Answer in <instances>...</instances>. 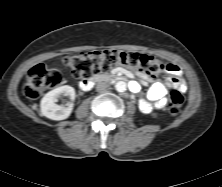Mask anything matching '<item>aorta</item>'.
<instances>
[{"instance_id": "obj_1", "label": "aorta", "mask_w": 222, "mask_h": 187, "mask_svg": "<svg viewBox=\"0 0 222 187\" xmlns=\"http://www.w3.org/2000/svg\"><path fill=\"white\" fill-rule=\"evenodd\" d=\"M126 88H127V84H126L124 81H118V82L115 84V89H116L118 92H124V91H126Z\"/></svg>"}]
</instances>
